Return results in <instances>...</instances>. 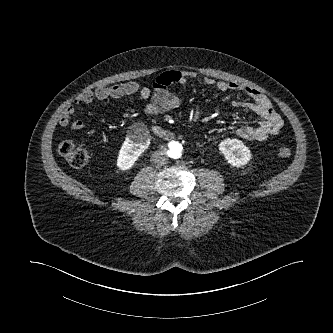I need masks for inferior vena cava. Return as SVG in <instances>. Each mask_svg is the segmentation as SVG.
I'll return each mask as SVG.
<instances>
[{"mask_svg": "<svg viewBox=\"0 0 333 333\" xmlns=\"http://www.w3.org/2000/svg\"><path fill=\"white\" fill-rule=\"evenodd\" d=\"M167 161H168V156L162 151L155 152L151 157V162L156 165H163Z\"/></svg>", "mask_w": 333, "mask_h": 333, "instance_id": "inferior-vena-cava-1", "label": "inferior vena cava"}]
</instances>
